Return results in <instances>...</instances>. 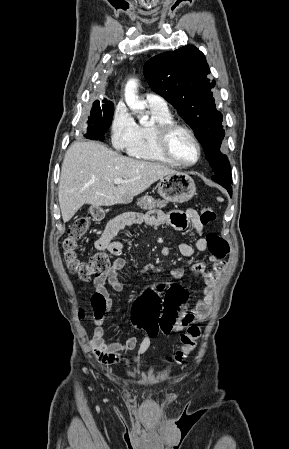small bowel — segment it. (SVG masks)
<instances>
[{
	"mask_svg": "<svg viewBox=\"0 0 289 449\" xmlns=\"http://www.w3.org/2000/svg\"><path fill=\"white\" fill-rule=\"evenodd\" d=\"M140 222H145L148 225L169 224L177 230L185 229L190 224L198 238L195 247L187 242L179 245V252L183 257H192L196 250L205 251L208 248L207 240L202 236L204 224L199 214L193 209H187L186 211L175 210L167 214L161 211H149L144 215H133L128 218H118L110 221L102 235L95 241V247L98 250H108L111 254L117 256V258L106 271L98 275L93 281L96 293L100 294L105 300L106 312L111 310L113 302L105 285L108 283L117 292L122 291L124 288V283L119 277V272L126 266V260L120 257L123 249V241L115 240V237L125 225ZM170 254L171 249L168 246L161 248L162 256L168 257ZM209 261L211 263V269H207L206 264L202 261L196 262L191 266V272L201 276L203 279V297L198 300L193 309H188L186 305L181 307L179 320L174 328L176 332L182 331L185 327L193 323L205 321L211 313L213 289L218 277L225 268V261L214 256H211ZM152 270L153 266L150 264L143 267L144 272ZM170 275L174 279H181L185 276V270L175 268L170 272ZM105 311L96 318L95 329L90 341L95 356L104 364H111L118 361L124 352L133 350L137 346L136 357L138 358L144 354L151 344V337L146 333L140 342L137 336H131L123 343L105 342V332L102 327L106 321Z\"/></svg>",
	"mask_w": 289,
	"mask_h": 449,
	"instance_id": "1",
	"label": "small bowel"
}]
</instances>
